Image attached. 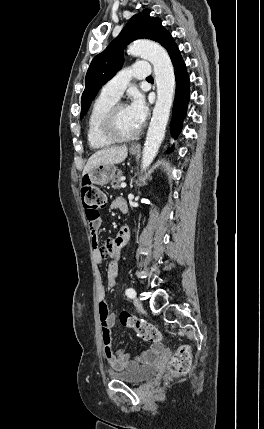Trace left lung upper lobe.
Returning <instances> with one entry per match:
<instances>
[{
  "mask_svg": "<svg viewBox=\"0 0 264 429\" xmlns=\"http://www.w3.org/2000/svg\"><path fill=\"white\" fill-rule=\"evenodd\" d=\"M149 13V10L145 9L134 15L119 36L103 52L93 58L85 78L81 118L87 113L100 88L121 68L123 49L127 44L139 38L151 39L160 43L168 32L163 28L161 20L151 18Z\"/></svg>",
  "mask_w": 264,
  "mask_h": 429,
  "instance_id": "obj_1",
  "label": "left lung upper lobe"
}]
</instances>
